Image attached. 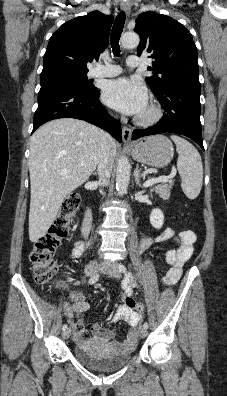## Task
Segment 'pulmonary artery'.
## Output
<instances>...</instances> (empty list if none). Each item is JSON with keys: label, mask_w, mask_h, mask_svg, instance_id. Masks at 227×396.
<instances>
[{"label": "pulmonary artery", "mask_w": 227, "mask_h": 396, "mask_svg": "<svg viewBox=\"0 0 227 396\" xmlns=\"http://www.w3.org/2000/svg\"><path fill=\"white\" fill-rule=\"evenodd\" d=\"M141 61L137 56H129L127 58V65L131 68L140 66ZM122 69L118 65H98L92 69L91 75L93 77H113L121 73Z\"/></svg>", "instance_id": "e3ab8cb5"}]
</instances>
